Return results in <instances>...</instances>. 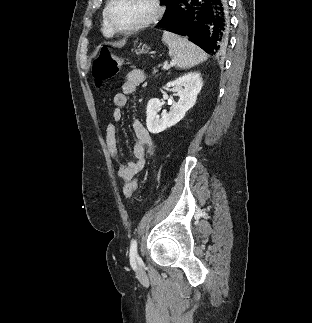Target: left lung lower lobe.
<instances>
[{
  "mask_svg": "<svg viewBox=\"0 0 312 323\" xmlns=\"http://www.w3.org/2000/svg\"><path fill=\"white\" fill-rule=\"evenodd\" d=\"M225 0H179L172 17L157 27L187 37L206 53L221 56L229 47Z\"/></svg>",
  "mask_w": 312,
  "mask_h": 323,
  "instance_id": "1",
  "label": "left lung lower lobe"
}]
</instances>
